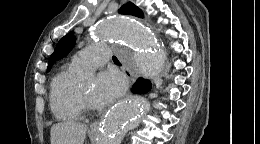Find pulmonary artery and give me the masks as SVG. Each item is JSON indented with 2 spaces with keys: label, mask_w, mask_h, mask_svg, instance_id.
Instances as JSON below:
<instances>
[{
  "label": "pulmonary artery",
  "mask_w": 260,
  "mask_h": 144,
  "mask_svg": "<svg viewBox=\"0 0 260 144\" xmlns=\"http://www.w3.org/2000/svg\"><path fill=\"white\" fill-rule=\"evenodd\" d=\"M110 60V48L104 44H94L78 51L72 57V63L81 69H90L103 65Z\"/></svg>",
  "instance_id": "1"
}]
</instances>
